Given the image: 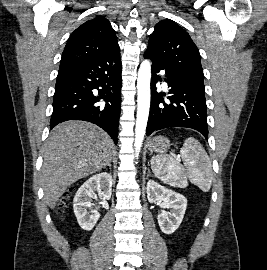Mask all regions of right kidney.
Returning a JSON list of instances; mask_svg holds the SVG:
<instances>
[{
    "label": "right kidney",
    "instance_id": "1",
    "mask_svg": "<svg viewBox=\"0 0 267 270\" xmlns=\"http://www.w3.org/2000/svg\"><path fill=\"white\" fill-rule=\"evenodd\" d=\"M112 176L106 172L90 177L76 192L73 200L74 213L80 227L89 231L93 229L100 214L96 210L87 211L92 206L91 198L95 197V192L102 201L109 200L112 194Z\"/></svg>",
    "mask_w": 267,
    "mask_h": 270
}]
</instances>
